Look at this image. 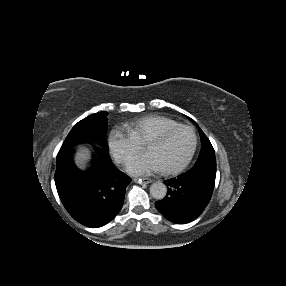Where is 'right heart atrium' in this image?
Returning a JSON list of instances; mask_svg holds the SVG:
<instances>
[{
  "label": "right heart atrium",
  "mask_w": 286,
  "mask_h": 286,
  "mask_svg": "<svg viewBox=\"0 0 286 286\" xmlns=\"http://www.w3.org/2000/svg\"><path fill=\"white\" fill-rule=\"evenodd\" d=\"M108 147L119 163H126L137 153L140 143L123 127H114L107 136Z\"/></svg>",
  "instance_id": "obj_1"
}]
</instances>
